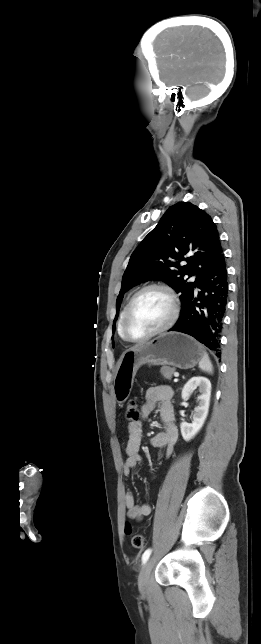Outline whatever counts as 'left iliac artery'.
Here are the masks:
<instances>
[{
	"mask_svg": "<svg viewBox=\"0 0 261 644\" xmlns=\"http://www.w3.org/2000/svg\"><path fill=\"white\" fill-rule=\"evenodd\" d=\"M151 552H152V550L149 548L143 553V555H142V564H145L147 562V560L150 557Z\"/></svg>",
	"mask_w": 261,
	"mask_h": 644,
	"instance_id": "1",
	"label": "left iliac artery"
}]
</instances>
